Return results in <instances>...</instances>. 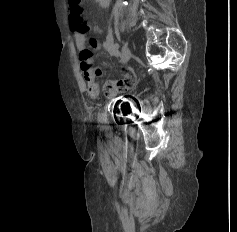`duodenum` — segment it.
<instances>
[{
	"label": "duodenum",
	"mask_w": 237,
	"mask_h": 232,
	"mask_svg": "<svg viewBox=\"0 0 237 232\" xmlns=\"http://www.w3.org/2000/svg\"><path fill=\"white\" fill-rule=\"evenodd\" d=\"M101 6H106L107 0H97Z\"/></svg>",
	"instance_id": "410a0bca"
}]
</instances>
